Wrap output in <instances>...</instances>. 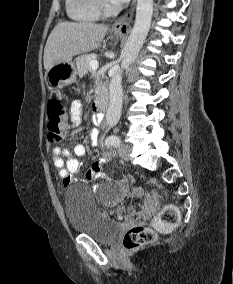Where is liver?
<instances>
[{
  "label": "liver",
  "mask_w": 233,
  "mask_h": 284,
  "mask_svg": "<svg viewBox=\"0 0 233 284\" xmlns=\"http://www.w3.org/2000/svg\"><path fill=\"white\" fill-rule=\"evenodd\" d=\"M108 31L101 24L60 22L50 33L44 49V68L48 71L57 63L75 55L96 49Z\"/></svg>",
  "instance_id": "obj_1"
}]
</instances>
